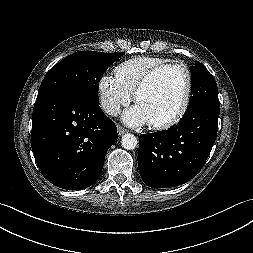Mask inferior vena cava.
Wrapping results in <instances>:
<instances>
[{
	"label": "inferior vena cava",
	"instance_id": "obj_1",
	"mask_svg": "<svg viewBox=\"0 0 253 253\" xmlns=\"http://www.w3.org/2000/svg\"><path fill=\"white\" fill-rule=\"evenodd\" d=\"M104 111L112 116H117L120 113V106L114 102H107L103 104Z\"/></svg>",
	"mask_w": 253,
	"mask_h": 253
}]
</instances>
